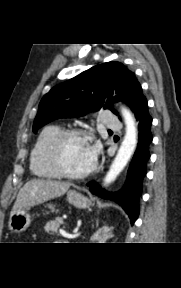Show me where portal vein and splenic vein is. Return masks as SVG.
I'll use <instances>...</instances> for the list:
<instances>
[{
	"label": "portal vein and splenic vein",
	"mask_w": 181,
	"mask_h": 288,
	"mask_svg": "<svg viewBox=\"0 0 181 288\" xmlns=\"http://www.w3.org/2000/svg\"><path fill=\"white\" fill-rule=\"evenodd\" d=\"M60 234L65 237V238H68V239H74L76 237H78L80 235V233H74V234H70V233H67L66 231L64 230H60Z\"/></svg>",
	"instance_id": "portal-vein-and-splenic-vein-1"
}]
</instances>
